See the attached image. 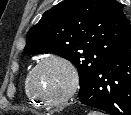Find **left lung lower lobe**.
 Listing matches in <instances>:
<instances>
[{
  "mask_svg": "<svg viewBox=\"0 0 131 115\" xmlns=\"http://www.w3.org/2000/svg\"><path fill=\"white\" fill-rule=\"evenodd\" d=\"M82 104L111 115H131V34L78 94Z\"/></svg>",
  "mask_w": 131,
  "mask_h": 115,
  "instance_id": "obj_1",
  "label": "left lung lower lobe"
}]
</instances>
